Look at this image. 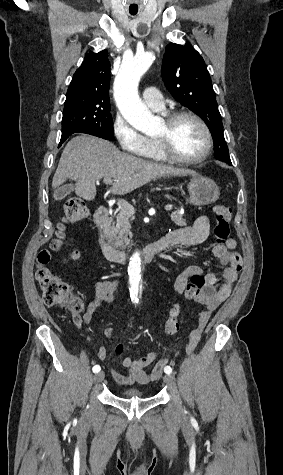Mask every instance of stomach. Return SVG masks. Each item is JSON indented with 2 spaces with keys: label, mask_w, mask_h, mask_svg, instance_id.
<instances>
[{
  "label": "stomach",
  "mask_w": 283,
  "mask_h": 475,
  "mask_svg": "<svg viewBox=\"0 0 283 475\" xmlns=\"http://www.w3.org/2000/svg\"><path fill=\"white\" fill-rule=\"evenodd\" d=\"M189 202L193 206L213 204L220 196L219 188L213 180L204 176H192L188 184Z\"/></svg>",
  "instance_id": "0dacf381"
}]
</instances>
